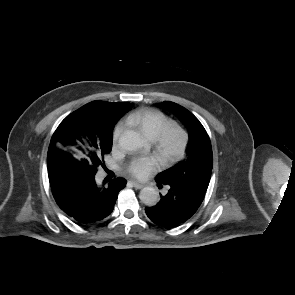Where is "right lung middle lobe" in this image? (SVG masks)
I'll use <instances>...</instances> for the list:
<instances>
[{
  "mask_svg": "<svg viewBox=\"0 0 295 295\" xmlns=\"http://www.w3.org/2000/svg\"><path fill=\"white\" fill-rule=\"evenodd\" d=\"M87 129V125L80 119H75L74 121V132L68 137V141L73 144H77L74 141L77 132L85 131ZM112 136H113V127L110 128L109 132L106 134L105 138L100 139V141L96 140L93 137L90 140L89 145L92 147V150L87 155V159L84 160L83 167L85 170H97L99 166H104L103 157L104 155L110 153L112 149ZM77 140L81 142L80 138L77 137ZM96 149L98 151L96 152ZM48 165V164H47Z\"/></svg>",
  "mask_w": 295,
  "mask_h": 295,
  "instance_id": "obj_1",
  "label": "right lung middle lobe"
}]
</instances>
